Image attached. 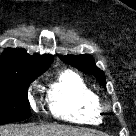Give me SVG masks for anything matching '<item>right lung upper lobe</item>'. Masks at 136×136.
Returning <instances> with one entry per match:
<instances>
[{
    "label": "right lung upper lobe",
    "instance_id": "right-lung-upper-lobe-1",
    "mask_svg": "<svg viewBox=\"0 0 136 136\" xmlns=\"http://www.w3.org/2000/svg\"><path fill=\"white\" fill-rule=\"evenodd\" d=\"M51 55H29L23 49L7 48L0 56V78L14 75L39 76L51 65Z\"/></svg>",
    "mask_w": 136,
    "mask_h": 136
}]
</instances>
